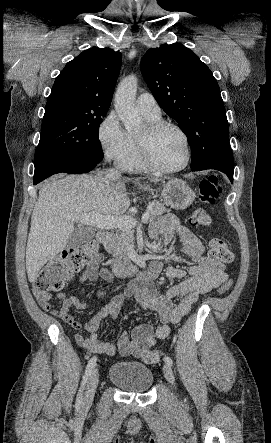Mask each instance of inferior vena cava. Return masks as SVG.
I'll return each instance as SVG.
<instances>
[{"instance_id":"inferior-vena-cava-1","label":"inferior vena cava","mask_w":271,"mask_h":443,"mask_svg":"<svg viewBox=\"0 0 271 443\" xmlns=\"http://www.w3.org/2000/svg\"><path fill=\"white\" fill-rule=\"evenodd\" d=\"M106 178H120L121 174L118 172V170H114V168H111V170H106L105 172Z\"/></svg>"}]
</instances>
